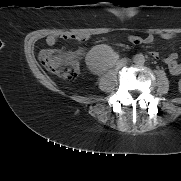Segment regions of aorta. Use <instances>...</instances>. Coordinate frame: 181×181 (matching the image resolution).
Listing matches in <instances>:
<instances>
[{"label":"aorta","mask_w":181,"mask_h":181,"mask_svg":"<svg viewBox=\"0 0 181 181\" xmlns=\"http://www.w3.org/2000/svg\"><path fill=\"white\" fill-rule=\"evenodd\" d=\"M136 62H137V63H144V56H138V57L136 58Z\"/></svg>","instance_id":"aorta-1"}]
</instances>
